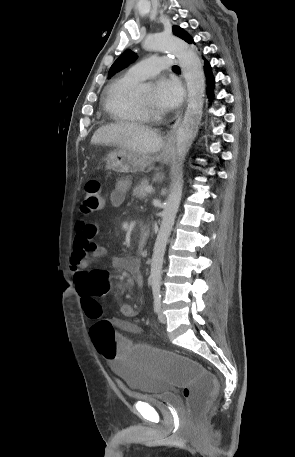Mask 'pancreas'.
Here are the masks:
<instances>
[{
    "instance_id": "obj_1",
    "label": "pancreas",
    "mask_w": 295,
    "mask_h": 457,
    "mask_svg": "<svg viewBox=\"0 0 295 457\" xmlns=\"http://www.w3.org/2000/svg\"><path fill=\"white\" fill-rule=\"evenodd\" d=\"M148 186L147 181H142L139 185L134 187L132 196L138 198V199H143L146 195L145 193V188Z\"/></svg>"
}]
</instances>
